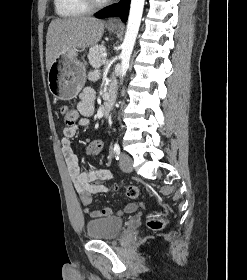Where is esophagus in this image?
<instances>
[{
    "label": "esophagus",
    "mask_w": 247,
    "mask_h": 280,
    "mask_svg": "<svg viewBox=\"0 0 247 280\" xmlns=\"http://www.w3.org/2000/svg\"><path fill=\"white\" fill-rule=\"evenodd\" d=\"M119 19L117 17H112L108 20V24H117Z\"/></svg>",
    "instance_id": "esophagus-1"
}]
</instances>
